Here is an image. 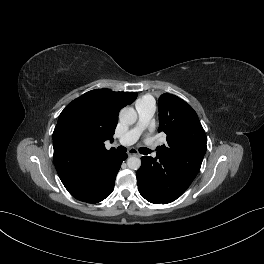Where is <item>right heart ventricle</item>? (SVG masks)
<instances>
[{
    "instance_id": "e07e8e85",
    "label": "right heart ventricle",
    "mask_w": 264,
    "mask_h": 264,
    "mask_svg": "<svg viewBox=\"0 0 264 264\" xmlns=\"http://www.w3.org/2000/svg\"><path fill=\"white\" fill-rule=\"evenodd\" d=\"M144 102L153 103V98L151 96H144L141 99H139L137 103H144Z\"/></svg>"
}]
</instances>
